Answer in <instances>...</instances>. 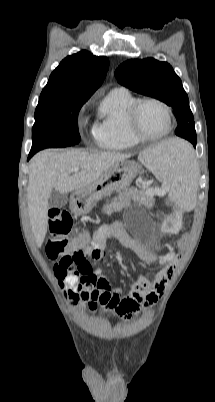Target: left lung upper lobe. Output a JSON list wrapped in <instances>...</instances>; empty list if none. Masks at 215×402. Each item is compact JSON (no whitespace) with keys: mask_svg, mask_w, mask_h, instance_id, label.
Listing matches in <instances>:
<instances>
[{"mask_svg":"<svg viewBox=\"0 0 215 402\" xmlns=\"http://www.w3.org/2000/svg\"><path fill=\"white\" fill-rule=\"evenodd\" d=\"M115 77L121 85L171 106L178 124L175 134L196 146L195 123L188 95L170 64L153 58L131 59L116 69Z\"/></svg>","mask_w":215,"mask_h":402,"instance_id":"1","label":"left lung upper lobe"}]
</instances>
